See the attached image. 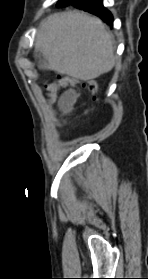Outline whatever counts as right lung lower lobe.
<instances>
[{
	"mask_svg": "<svg viewBox=\"0 0 148 279\" xmlns=\"http://www.w3.org/2000/svg\"><path fill=\"white\" fill-rule=\"evenodd\" d=\"M66 1H72V5L76 8L95 14L102 20L110 23L111 26L113 25V17L111 13L103 6L102 0H61L57 4V7L67 6L68 3Z\"/></svg>",
	"mask_w": 148,
	"mask_h": 279,
	"instance_id": "right-lung-lower-lobe-1",
	"label": "right lung lower lobe"
}]
</instances>
